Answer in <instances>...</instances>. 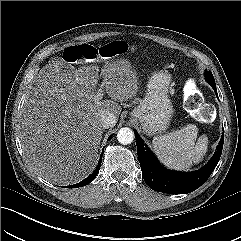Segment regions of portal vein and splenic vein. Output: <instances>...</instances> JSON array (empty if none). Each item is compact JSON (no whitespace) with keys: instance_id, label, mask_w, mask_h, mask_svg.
<instances>
[{"instance_id":"portal-vein-and-splenic-vein-1","label":"portal vein and splenic vein","mask_w":241,"mask_h":241,"mask_svg":"<svg viewBox=\"0 0 241 241\" xmlns=\"http://www.w3.org/2000/svg\"><path fill=\"white\" fill-rule=\"evenodd\" d=\"M103 96V85L97 91V98L100 99Z\"/></svg>"}]
</instances>
